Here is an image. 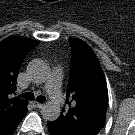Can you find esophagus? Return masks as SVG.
I'll use <instances>...</instances> for the list:
<instances>
[{
    "instance_id": "obj_1",
    "label": "esophagus",
    "mask_w": 135,
    "mask_h": 135,
    "mask_svg": "<svg viewBox=\"0 0 135 135\" xmlns=\"http://www.w3.org/2000/svg\"><path fill=\"white\" fill-rule=\"evenodd\" d=\"M32 105L35 107V108H42L44 105L39 103V102H36V101H33L32 102Z\"/></svg>"
}]
</instances>
